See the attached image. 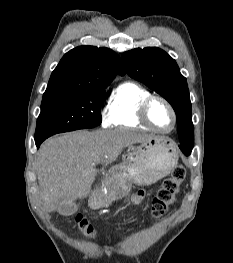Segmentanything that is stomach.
I'll use <instances>...</instances> for the list:
<instances>
[{
	"label": "stomach",
	"mask_w": 233,
	"mask_h": 263,
	"mask_svg": "<svg viewBox=\"0 0 233 263\" xmlns=\"http://www.w3.org/2000/svg\"><path fill=\"white\" fill-rule=\"evenodd\" d=\"M178 154L173 143L165 137L154 136L134 146L115 168L109 180L110 201L129 193L133 184L148 186L164 178L176 167ZM92 208L104 205V197H93Z\"/></svg>",
	"instance_id": "1"
}]
</instances>
